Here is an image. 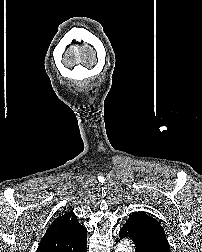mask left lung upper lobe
Here are the masks:
<instances>
[{
  "label": "left lung upper lobe",
  "mask_w": 202,
  "mask_h": 252,
  "mask_svg": "<svg viewBox=\"0 0 202 252\" xmlns=\"http://www.w3.org/2000/svg\"><path fill=\"white\" fill-rule=\"evenodd\" d=\"M126 223L136 225L151 242L170 252L164 229L155 218L148 216L145 212H134Z\"/></svg>",
  "instance_id": "5c2ea615"
}]
</instances>
